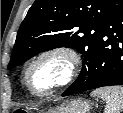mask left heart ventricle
Here are the masks:
<instances>
[{"instance_id":"1","label":"left heart ventricle","mask_w":123,"mask_h":113,"mask_svg":"<svg viewBox=\"0 0 123 113\" xmlns=\"http://www.w3.org/2000/svg\"><path fill=\"white\" fill-rule=\"evenodd\" d=\"M60 62L46 61L37 66L30 75V83L37 91L44 90L58 75Z\"/></svg>"}]
</instances>
